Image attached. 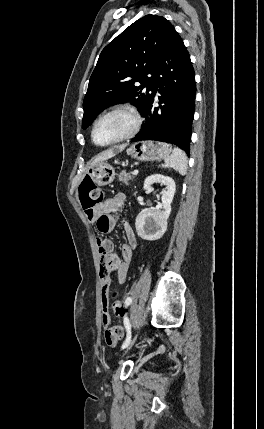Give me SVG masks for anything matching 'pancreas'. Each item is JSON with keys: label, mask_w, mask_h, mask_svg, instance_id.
Here are the masks:
<instances>
[{"label": "pancreas", "mask_w": 264, "mask_h": 429, "mask_svg": "<svg viewBox=\"0 0 264 429\" xmlns=\"http://www.w3.org/2000/svg\"><path fill=\"white\" fill-rule=\"evenodd\" d=\"M118 179L120 182L124 183L125 185H129L130 181L133 180L134 177L132 176V173H128L124 170L119 174Z\"/></svg>", "instance_id": "obj_1"}]
</instances>
